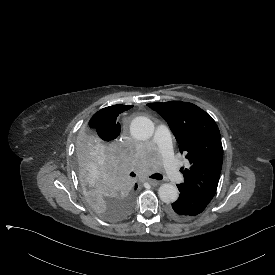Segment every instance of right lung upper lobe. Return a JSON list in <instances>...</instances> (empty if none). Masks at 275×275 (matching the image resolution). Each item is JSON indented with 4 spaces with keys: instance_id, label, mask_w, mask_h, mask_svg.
<instances>
[{
    "instance_id": "cb5924a9",
    "label": "right lung upper lobe",
    "mask_w": 275,
    "mask_h": 275,
    "mask_svg": "<svg viewBox=\"0 0 275 275\" xmlns=\"http://www.w3.org/2000/svg\"><path fill=\"white\" fill-rule=\"evenodd\" d=\"M133 106L113 105L101 109L93 115L89 124H95L100 129V138L104 141H112L120 134V124L116 121L117 116ZM137 185H135V189Z\"/></svg>"
}]
</instances>
